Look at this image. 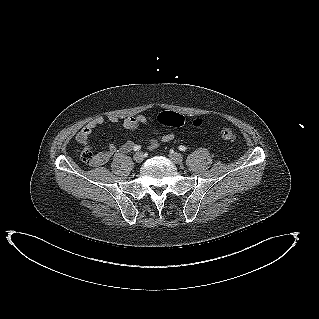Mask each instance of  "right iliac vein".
<instances>
[{"instance_id": "63e3f726", "label": "right iliac vein", "mask_w": 319, "mask_h": 319, "mask_svg": "<svg viewBox=\"0 0 319 319\" xmlns=\"http://www.w3.org/2000/svg\"><path fill=\"white\" fill-rule=\"evenodd\" d=\"M133 159L136 163H141L144 160V155L141 152H137L134 156Z\"/></svg>"}]
</instances>
